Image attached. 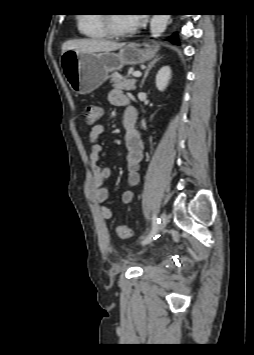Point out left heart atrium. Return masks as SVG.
I'll return each mask as SVG.
<instances>
[{
	"label": "left heart atrium",
	"mask_w": 254,
	"mask_h": 355,
	"mask_svg": "<svg viewBox=\"0 0 254 355\" xmlns=\"http://www.w3.org/2000/svg\"><path fill=\"white\" fill-rule=\"evenodd\" d=\"M128 16L135 27L142 25L147 17L145 13H132Z\"/></svg>",
	"instance_id": "left-heart-atrium-1"
}]
</instances>
